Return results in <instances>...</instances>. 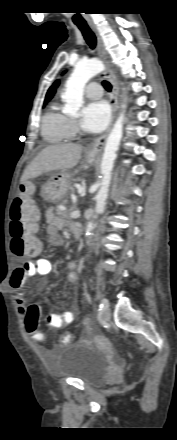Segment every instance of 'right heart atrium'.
<instances>
[{
	"label": "right heart atrium",
	"instance_id": "obj_1",
	"mask_svg": "<svg viewBox=\"0 0 177 440\" xmlns=\"http://www.w3.org/2000/svg\"><path fill=\"white\" fill-rule=\"evenodd\" d=\"M68 131L70 135H74L78 131L77 123L74 119H68Z\"/></svg>",
	"mask_w": 177,
	"mask_h": 440
}]
</instances>
